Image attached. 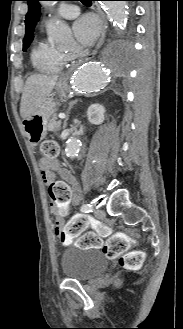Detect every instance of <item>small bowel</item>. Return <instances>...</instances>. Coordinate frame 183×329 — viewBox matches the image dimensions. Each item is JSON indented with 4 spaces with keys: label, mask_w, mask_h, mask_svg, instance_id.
<instances>
[{
    "label": "small bowel",
    "mask_w": 183,
    "mask_h": 329,
    "mask_svg": "<svg viewBox=\"0 0 183 329\" xmlns=\"http://www.w3.org/2000/svg\"><path fill=\"white\" fill-rule=\"evenodd\" d=\"M40 167L46 171L44 180L47 183V194H50L52 199L51 212L55 215V233L65 245L71 240H65L61 237L63 227V219L68 218V210L75 208V202H78L81 197V190L75 175L68 169L61 166L57 160L42 159ZM56 173L60 178H54ZM64 182H62V180Z\"/></svg>",
    "instance_id": "obj_1"
}]
</instances>
